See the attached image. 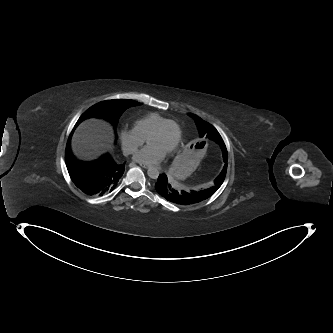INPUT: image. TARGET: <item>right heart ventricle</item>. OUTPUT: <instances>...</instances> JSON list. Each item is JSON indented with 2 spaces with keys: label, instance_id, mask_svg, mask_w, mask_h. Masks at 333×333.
Segmentation results:
<instances>
[{
  "label": "right heart ventricle",
  "instance_id": "obj_1",
  "mask_svg": "<svg viewBox=\"0 0 333 333\" xmlns=\"http://www.w3.org/2000/svg\"><path fill=\"white\" fill-rule=\"evenodd\" d=\"M167 120H170V118L157 112H151L136 120L134 129L146 139L154 129Z\"/></svg>",
  "mask_w": 333,
  "mask_h": 333
}]
</instances>
